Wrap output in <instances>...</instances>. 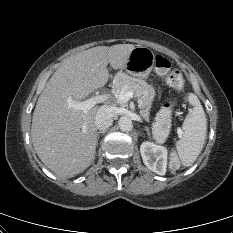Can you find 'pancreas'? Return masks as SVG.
I'll list each match as a JSON object with an SVG mask.
<instances>
[{"label": "pancreas", "mask_w": 233, "mask_h": 233, "mask_svg": "<svg viewBox=\"0 0 233 233\" xmlns=\"http://www.w3.org/2000/svg\"><path fill=\"white\" fill-rule=\"evenodd\" d=\"M125 87L128 91H132L139 96L138 106L140 114L145 121L149 122L151 104L155 95L154 88L142 79L134 78L124 73L117 74L115 77L114 93L120 94ZM153 134L158 142H164L168 132L163 128H157L156 124H154Z\"/></svg>", "instance_id": "1"}]
</instances>
